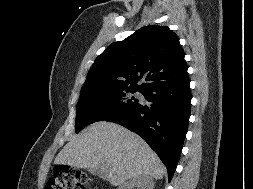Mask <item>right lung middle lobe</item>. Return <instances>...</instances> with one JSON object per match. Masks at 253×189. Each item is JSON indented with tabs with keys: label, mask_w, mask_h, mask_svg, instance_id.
<instances>
[{
	"label": "right lung middle lobe",
	"mask_w": 253,
	"mask_h": 189,
	"mask_svg": "<svg viewBox=\"0 0 253 189\" xmlns=\"http://www.w3.org/2000/svg\"><path fill=\"white\" fill-rule=\"evenodd\" d=\"M136 91L140 90L125 86H106L80 93L76 106V133L89 124L107 120L136 106L138 100L129 94Z\"/></svg>",
	"instance_id": "right-lung-middle-lobe-1"
}]
</instances>
